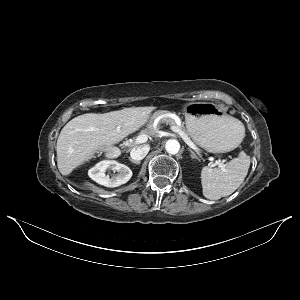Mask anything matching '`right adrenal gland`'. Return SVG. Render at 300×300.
Segmentation results:
<instances>
[{"mask_svg": "<svg viewBox=\"0 0 300 300\" xmlns=\"http://www.w3.org/2000/svg\"><path fill=\"white\" fill-rule=\"evenodd\" d=\"M128 159L132 162V163H134V164H137V165H140V161H135V160H133L132 158H130V157H128Z\"/></svg>", "mask_w": 300, "mask_h": 300, "instance_id": "1", "label": "right adrenal gland"}]
</instances>
